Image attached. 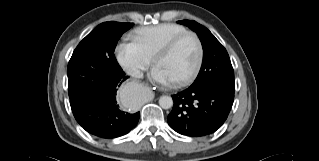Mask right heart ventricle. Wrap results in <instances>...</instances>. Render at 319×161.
<instances>
[{"label":"right heart ventricle","instance_id":"e07e8e85","mask_svg":"<svg viewBox=\"0 0 319 161\" xmlns=\"http://www.w3.org/2000/svg\"><path fill=\"white\" fill-rule=\"evenodd\" d=\"M186 31L185 27L171 23L142 27L133 32L132 42L149 60H153L155 54L165 43Z\"/></svg>","mask_w":319,"mask_h":161}]
</instances>
